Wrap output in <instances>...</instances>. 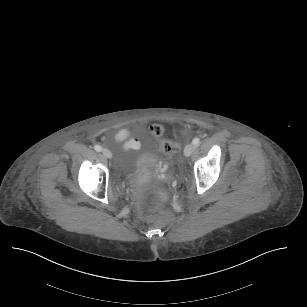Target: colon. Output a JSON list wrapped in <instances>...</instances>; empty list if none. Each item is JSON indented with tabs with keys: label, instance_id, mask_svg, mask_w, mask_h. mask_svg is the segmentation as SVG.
Returning <instances> with one entry per match:
<instances>
[{
	"label": "colon",
	"instance_id": "5ec220e1",
	"mask_svg": "<svg viewBox=\"0 0 307 307\" xmlns=\"http://www.w3.org/2000/svg\"><path fill=\"white\" fill-rule=\"evenodd\" d=\"M150 131L160 138L163 135V130H162V127L160 125L151 126ZM189 131H192V128H189ZM188 138H189V135H185V137H183V139H181V142H185ZM160 146H161V149L163 150V152L172 153V152H175L177 150V147L180 146V143L175 144L174 142H172V141H170L166 138H162L161 142H160ZM151 195L155 199L166 198L167 195H166L165 186L162 185V184L153 185L152 188H151Z\"/></svg>",
	"mask_w": 307,
	"mask_h": 307
}]
</instances>
